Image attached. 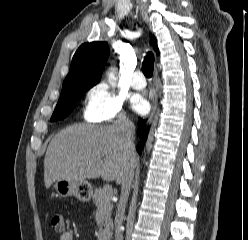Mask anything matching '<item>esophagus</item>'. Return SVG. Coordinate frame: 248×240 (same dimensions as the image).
I'll use <instances>...</instances> for the list:
<instances>
[{
	"instance_id": "1",
	"label": "esophagus",
	"mask_w": 248,
	"mask_h": 240,
	"mask_svg": "<svg viewBox=\"0 0 248 240\" xmlns=\"http://www.w3.org/2000/svg\"><path fill=\"white\" fill-rule=\"evenodd\" d=\"M156 74H157V72H156ZM156 109H157V94H156V92H154L153 97H152V109H151V113H150L148 120H150L153 117Z\"/></svg>"
}]
</instances>
